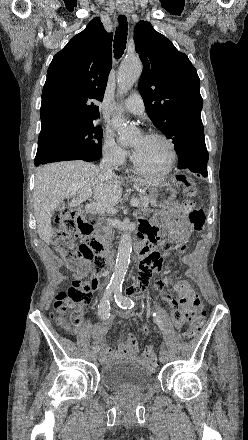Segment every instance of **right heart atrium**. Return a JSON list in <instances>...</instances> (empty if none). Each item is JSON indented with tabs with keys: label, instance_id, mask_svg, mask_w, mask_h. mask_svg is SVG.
<instances>
[{
	"label": "right heart atrium",
	"instance_id": "right-heart-atrium-1",
	"mask_svg": "<svg viewBox=\"0 0 248 440\" xmlns=\"http://www.w3.org/2000/svg\"><path fill=\"white\" fill-rule=\"evenodd\" d=\"M105 160L113 166H122L127 159V151L119 145L111 132H105L102 141Z\"/></svg>",
	"mask_w": 248,
	"mask_h": 440
}]
</instances>
